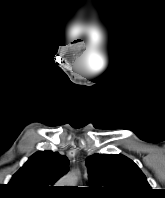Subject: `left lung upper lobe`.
Masks as SVG:
<instances>
[{"mask_svg": "<svg viewBox=\"0 0 165 198\" xmlns=\"http://www.w3.org/2000/svg\"><path fill=\"white\" fill-rule=\"evenodd\" d=\"M89 189L99 198H146L152 191L145 175L121 154H94L86 159Z\"/></svg>", "mask_w": 165, "mask_h": 198, "instance_id": "obj_1", "label": "left lung upper lobe"}]
</instances>
